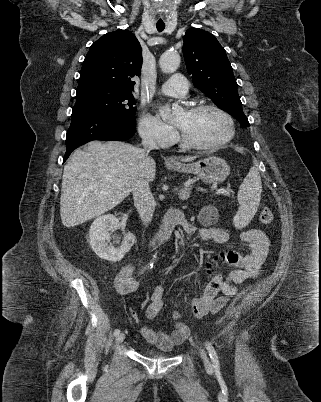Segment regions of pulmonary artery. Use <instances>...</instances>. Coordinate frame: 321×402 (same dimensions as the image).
I'll return each mask as SVG.
<instances>
[{
	"label": "pulmonary artery",
	"instance_id": "1",
	"mask_svg": "<svg viewBox=\"0 0 321 402\" xmlns=\"http://www.w3.org/2000/svg\"><path fill=\"white\" fill-rule=\"evenodd\" d=\"M187 91V81L181 74L173 75L159 88V93L173 97H184L187 94Z\"/></svg>",
	"mask_w": 321,
	"mask_h": 402
}]
</instances>
